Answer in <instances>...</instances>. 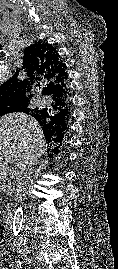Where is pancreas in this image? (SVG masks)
I'll return each mask as SVG.
<instances>
[{
    "instance_id": "obj_1",
    "label": "pancreas",
    "mask_w": 118,
    "mask_h": 269,
    "mask_svg": "<svg viewBox=\"0 0 118 269\" xmlns=\"http://www.w3.org/2000/svg\"><path fill=\"white\" fill-rule=\"evenodd\" d=\"M10 190H12V187L9 184V180L7 178H0V191L9 192Z\"/></svg>"
}]
</instances>
